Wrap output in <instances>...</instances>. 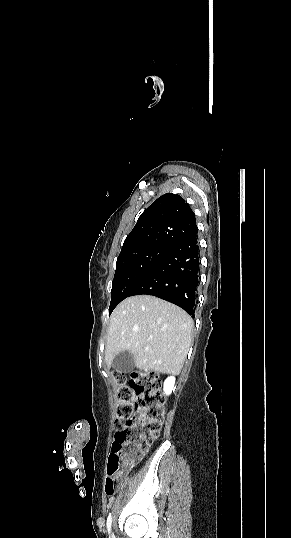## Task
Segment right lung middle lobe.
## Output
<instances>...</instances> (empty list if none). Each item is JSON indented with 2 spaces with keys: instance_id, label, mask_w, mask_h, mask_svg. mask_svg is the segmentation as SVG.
Wrapping results in <instances>:
<instances>
[{
  "instance_id": "right-lung-middle-lobe-1",
  "label": "right lung middle lobe",
  "mask_w": 291,
  "mask_h": 538,
  "mask_svg": "<svg viewBox=\"0 0 291 538\" xmlns=\"http://www.w3.org/2000/svg\"><path fill=\"white\" fill-rule=\"evenodd\" d=\"M169 250L170 247L167 246L150 245L118 256L111 289L109 315L122 300L130 296L136 285Z\"/></svg>"
}]
</instances>
